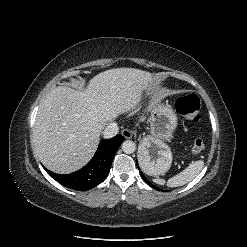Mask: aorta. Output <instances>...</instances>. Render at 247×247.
<instances>
[{
  "mask_svg": "<svg viewBox=\"0 0 247 247\" xmlns=\"http://www.w3.org/2000/svg\"><path fill=\"white\" fill-rule=\"evenodd\" d=\"M122 150L127 154H132L136 150V145L131 140H126L122 143Z\"/></svg>",
  "mask_w": 247,
  "mask_h": 247,
  "instance_id": "1",
  "label": "aorta"
}]
</instances>
